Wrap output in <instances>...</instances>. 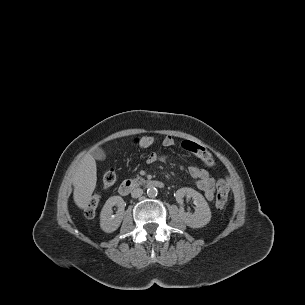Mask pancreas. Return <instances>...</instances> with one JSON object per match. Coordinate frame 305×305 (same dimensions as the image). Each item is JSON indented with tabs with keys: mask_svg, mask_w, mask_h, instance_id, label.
I'll use <instances>...</instances> for the list:
<instances>
[{
	"mask_svg": "<svg viewBox=\"0 0 305 305\" xmlns=\"http://www.w3.org/2000/svg\"><path fill=\"white\" fill-rule=\"evenodd\" d=\"M133 181L137 184H141L142 182H144L145 180L140 177V176H137L135 179H133Z\"/></svg>",
	"mask_w": 305,
	"mask_h": 305,
	"instance_id": "obj_1",
	"label": "pancreas"
}]
</instances>
